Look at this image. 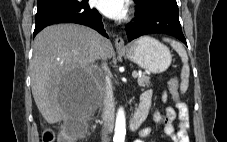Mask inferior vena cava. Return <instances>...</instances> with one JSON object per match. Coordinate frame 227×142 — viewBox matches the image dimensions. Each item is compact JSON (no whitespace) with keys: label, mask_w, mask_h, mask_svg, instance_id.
I'll list each match as a JSON object with an SVG mask.
<instances>
[{"label":"inferior vena cava","mask_w":227,"mask_h":142,"mask_svg":"<svg viewBox=\"0 0 227 142\" xmlns=\"http://www.w3.org/2000/svg\"><path fill=\"white\" fill-rule=\"evenodd\" d=\"M101 40H102V36L97 34L93 41V50H94L96 59H101L103 61H106L107 57L104 54ZM102 69L104 72H107L106 63L103 64ZM101 140L102 142H110V138L106 129H102Z\"/></svg>","instance_id":"602c4592"}]
</instances>
